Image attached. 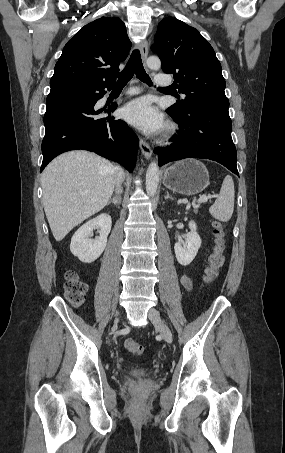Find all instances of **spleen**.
I'll return each instance as SVG.
<instances>
[{
  "label": "spleen",
  "instance_id": "1",
  "mask_svg": "<svg viewBox=\"0 0 285 453\" xmlns=\"http://www.w3.org/2000/svg\"><path fill=\"white\" fill-rule=\"evenodd\" d=\"M234 182L230 175H227L222 183L220 193L214 204L209 208V213L215 219L228 222L234 211Z\"/></svg>",
  "mask_w": 285,
  "mask_h": 453
}]
</instances>
